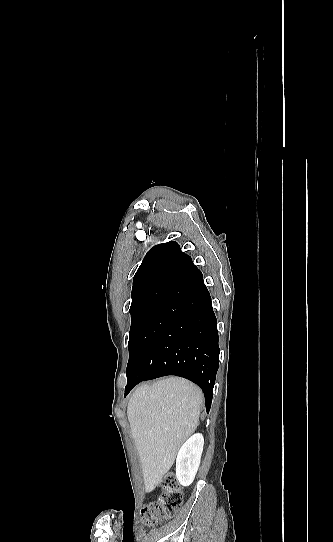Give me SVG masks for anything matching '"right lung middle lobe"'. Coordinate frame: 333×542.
<instances>
[{"instance_id":"obj_1","label":"right lung middle lobe","mask_w":333,"mask_h":542,"mask_svg":"<svg viewBox=\"0 0 333 542\" xmlns=\"http://www.w3.org/2000/svg\"><path fill=\"white\" fill-rule=\"evenodd\" d=\"M163 297H159L156 299H152L150 301H147L143 304L137 305L135 307H130V313H131V328H130V336H129V342H128V348H129V361L128 364L132 362L135 356V348H136V341L147 321V318L155 308V306L159 303L160 300H162Z\"/></svg>"}]
</instances>
